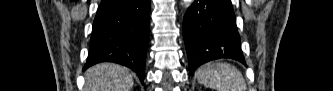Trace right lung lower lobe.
I'll list each match as a JSON object with an SVG mask.
<instances>
[{"label":"right lung lower lobe","instance_id":"1","mask_svg":"<svg viewBox=\"0 0 333 91\" xmlns=\"http://www.w3.org/2000/svg\"><path fill=\"white\" fill-rule=\"evenodd\" d=\"M149 16L150 0H102L83 69L99 62H115L134 70L143 83Z\"/></svg>","mask_w":333,"mask_h":91}]
</instances>
